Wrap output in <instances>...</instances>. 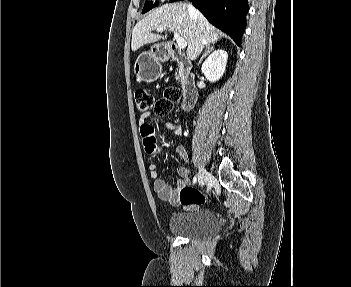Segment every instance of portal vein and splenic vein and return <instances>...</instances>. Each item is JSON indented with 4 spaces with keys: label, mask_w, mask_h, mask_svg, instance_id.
<instances>
[{
    "label": "portal vein and splenic vein",
    "mask_w": 351,
    "mask_h": 287,
    "mask_svg": "<svg viewBox=\"0 0 351 287\" xmlns=\"http://www.w3.org/2000/svg\"><path fill=\"white\" fill-rule=\"evenodd\" d=\"M156 30L158 32H162V31L165 30V28L160 27V28H157ZM174 39L177 41L179 49H185L186 48L187 42L177 32H174Z\"/></svg>",
    "instance_id": "18ae733b"
}]
</instances>
